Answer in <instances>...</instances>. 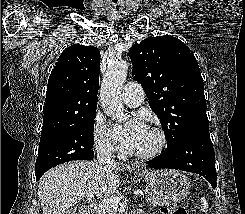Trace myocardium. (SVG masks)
<instances>
[{
  "label": "myocardium",
  "mask_w": 245,
  "mask_h": 214,
  "mask_svg": "<svg viewBox=\"0 0 245 214\" xmlns=\"http://www.w3.org/2000/svg\"><path fill=\"white\" fill-rule=\"evenodd\" d=\"M149 130L157 136L158 144L156 145L155 148H153L152 150L148 152H144V153L132 152V156H134L137 159H140V160L154 159L158 157L167 147L168 139L163 129H161L160 127L152 126V127H149Z\"/></svg>",
  "instance_id": "myocardium-1"
}]
</instances>
